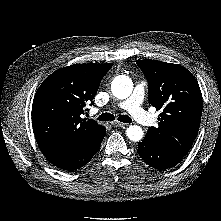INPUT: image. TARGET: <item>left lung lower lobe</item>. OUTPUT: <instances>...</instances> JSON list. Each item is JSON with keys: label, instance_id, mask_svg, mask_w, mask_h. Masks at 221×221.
<instances>
[{"label": "left lung lower lobe", "instance_id": "1", "mask_svg": "<svg viewBox=\"0 0 221 221\" xmlns=\"http://www.w3.org/2000/svg\"><path fill=\"white\" fill-rule=\"evenodd\" d=\"M137 153L149 166L163 170L178 164L185 155L155 146L146 140L139 142Z\"/></svg>", "mask_w": 221, "mask_h": 221}]
</instances>
